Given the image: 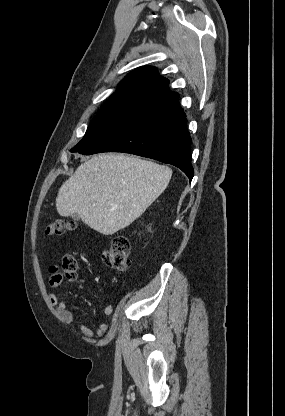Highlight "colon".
Masks as SVG:
<instances>
[{
    "instance_id": "obj_1",
    "label": "colon",
    "mask_w": 285,
    "mask_h": 416,
    "mask_svg": "<svg viewBox=\"0 0 285 416\" xmlns=\"http://www.w3.org/2000/svg\"><path fill=\"white\" fill-rule=\"evenodd\" d=\"M75 228L73 222L55 220L48 228L49 235H63ZM130 243L124 236L115 237L111 245L101 251V259L104 264L118 270H126L130 265ZM52 285H60L63 281H74L77 278L78 263L73 254H66L62 258L60 267H52Z\"/></svg>"
}]
</instances>
